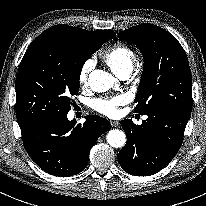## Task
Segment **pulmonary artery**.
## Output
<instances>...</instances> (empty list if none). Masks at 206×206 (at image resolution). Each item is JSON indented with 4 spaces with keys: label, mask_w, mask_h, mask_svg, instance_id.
Wrapping results in <instances>:
<instances>
[{
    "label": "pulmonary artery",
    "mask_w": 206,
    "mask_h": 206,
    "mask_svg": "<svg viewBox=\"0 0 206 206\" xmlns=\"http://www.w3.org/2000/svg\"><path fill=\"white\" fill-rule=\"evenodd\" d=\"M132 69H125L121 73L118 74V77L121 79H127L130 77Z\"/></svg>",
    "instance_id": "1"
}]
</instances>
